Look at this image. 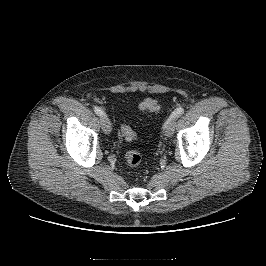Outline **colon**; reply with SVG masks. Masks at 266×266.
I'll use <instances>...</instances> for the list:
<instances>
[{"label": "colon", "instance_id": "colon-1", "mask_svg": "<svg viewBox=\"0 0 266 266\" xmlns=\"http://www.w3.org/2000/svg\"><path fill=\"white\" fill-rule=\"evenodd\" d=\"M139 109L146 113H156L159 111L160 105L156 99L148 97L140 102ZM121 134L125 139L130 141L135 140L137 137L135 131L127 125L121 127ZM125 159L128 166L136 167L141 163L142 156L138 151H129L126 153Z\"/></svg>", "mask_w": 266, "mask_h": 266}]
</instances>
